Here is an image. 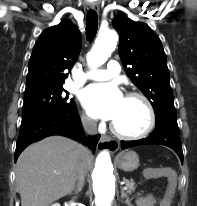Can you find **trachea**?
I'll return each instance as SVG.
<instances>
[{"instance_id":"1","label":"trachea","mask_w":197,"mask_h":206,"mask_svg":"<svg viewBox=\"0 0 197 206\" xmlns=\"http://www.w3.org/2000/svg\"><path fill=\"white\" fill-rule=\"evenodd\" d=\"M98 30V16L95 11H89L86 18V35L92 41Z\"/></svg>"}]
</instances>
